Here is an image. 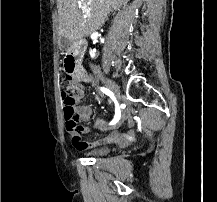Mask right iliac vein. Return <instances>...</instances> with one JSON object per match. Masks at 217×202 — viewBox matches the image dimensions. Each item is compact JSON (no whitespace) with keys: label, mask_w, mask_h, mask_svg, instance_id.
Instances as JSON below:
<instances>
[{"label":"right iliac vein","mask_w":217,"mask_h":202,"mask_svg":"<svg viewBox=\"0 0 217 202\" xmlns=\"http://www.w3.org/2000/svg\"><path fill=\"white\" fill-rule=\"evenodd\" d=\"M98 78L102 80L105 85L114 93L117 99L120 97V90L117 85L110 79L106 78L104 75L99 74Z\"/></svg>","instance_id":"right-iliac-vein-1"}]
</instances>
